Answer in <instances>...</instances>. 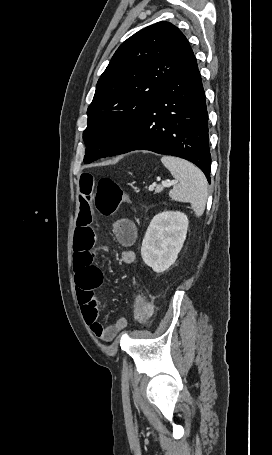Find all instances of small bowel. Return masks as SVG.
Instances as JSON below:
<instances>
[{
  "instance_id": "c3829d8e",
  "label": "small bowel",
  "mask_w": 272,
  "mask_h": 455,
  "mask_svg": "<svg viewBox=\"0 0 272 455\" xmlns=\"http://www.w3.org/2000/svg\"><path fill=\"white\" fill-rule=\"evenodd\" d=\"M96 187V179L92 173L84 172L79 177L80 211L74 237V270L78 301L85 321L92 332L101 340L111 341L125 326V319L103 325L98 321L99 298L103 286V274L95 264L93 246L95 234L92 229V210L90 200ZM114 236L122 248L121 260L132 264L136 255L132 246L137 238L135 224L129 219H119L113 224Z\"/></svg>"
}]
</instances>
